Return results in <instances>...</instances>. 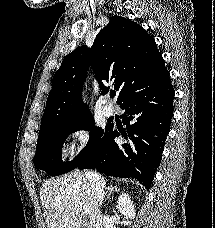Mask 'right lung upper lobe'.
I'll return each mask as SVG.
<instances>
[{
	"label": "right lung upper lobe",
	"mask_w": 215,
	"mask_h": 228,
	"mask_svg": "<svg viewBox=\"0 0 215 228\" xmlns=\"http://www.w3.org/2000/svg\"><path fill=\"white\" fill-rule=\"evenodd\" d=\"M89 66L103 93L108 88L102 81L113 82L114 89L119 91V105L136 83L161 80L169 74L155 40L137 23L114 16L91 48L83 45L63 59L53 77L41 127L91 115L81 98Z\"/></svg>",
	"instance_id": "1"
}]
</instances>
